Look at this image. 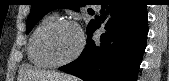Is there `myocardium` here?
<instances>
[{
    "mask_svg": "<svg viewBox=\"0 0 169 81\" xmlns=\"http://www.w3.org/2000/svg\"><path fill=\"white\" fill-rule=\"evenodd\" d=\"M62 26H71V27L76 28L79 33L80 43H79L77 50L70 57L64 60H55L49 53L48 40L50 36L52 35V33L56 29ZM84 46H85V38L82 32V29L80 28L77 22L70 20V19H58L55 22H53L51 25H49L44 30V32L42 33L40 37V42H39L41 55L51 66H54V67L63 66V65L69 64L73 62L74 60H76L81 55L84 49Z\"/></svg>",
    "mask_w": 169,
    "mask_h": 81,
    "instance_id": "myocardium-1",
    "label": "myocardium"
}]
</instances>
